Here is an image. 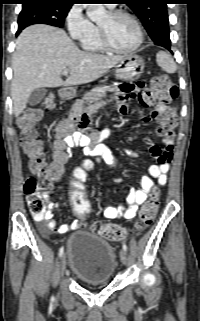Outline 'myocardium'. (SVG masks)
I'll use <instances>...</instances> for the list:
<instances>
[{"instance_id": "obj_1", "label": "myocardium", "mask_w": 200, "mask_h": 321, "mask_svg": "<svg viewBox=\"0 0 200 321\" xmlns=\"http://www.w3.org/2000/svg\"><path fill=\"white\" fill-rule=\"evenodd\" d=\"M109 16L111 18H119V17L129 18L136 26L137 33H138V39H137V42L130 48H126V49L117 48L111 42L106 30L103 27H101L100 25H98L99 39H100V42H101L102 46L104 47V49L109 52L117 53V54H129V53H133L136 50H138L144 42V32H143L142 25H141L140 21L138 20V18L135 15H133L130 12H127L125 10L112 11L109 13Z\"/></svg>"}]
</instances>
